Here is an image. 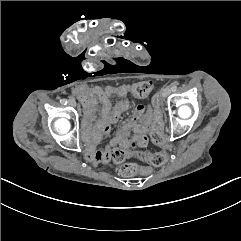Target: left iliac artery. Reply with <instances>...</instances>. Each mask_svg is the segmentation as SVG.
Returning a JSON list of instances; mask_svg holds the SVG:
<instances>
[{"label":"left iliac artery","instance_id":"left-iliac-artery-1","mask_svg":"<svg viewBox=\"0 0 241 241\" xmlns=\"http://www.w3.org/2000/svg\"><path fill=\"white\" fill-rule=\"evenodd\" d=\"M176 89H177V85H176V84H173V85L171 86V90H172V91H176Z\"/></svg>","mask_w":241,"mask_h":241}]
</instances>
